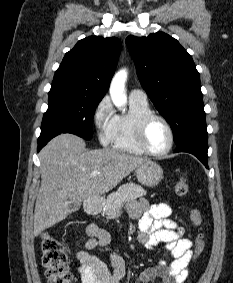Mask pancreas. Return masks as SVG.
<instances>
[{
  "label": "pancreas",
  "mask_w": 233,
  "mask_h": 283,
  "mask_svg": "<svg viewBox=\"0 0 233 283\" xmlns=\"http://www.w3.org/2000/svg\"><path fill=\"white\" fill-rule=\"evenodd\" d=\"M146 193L145 189L135 183L123 184L116 192L107 197L104 214L109 219L119 213L125 202L145 196Z\"/></svg>",
  "instance_id": "obj_1"
}]
</instances>
